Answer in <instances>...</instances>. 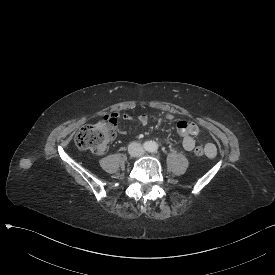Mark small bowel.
I'll list each match as a JSON object with an SVG mask.
<instances>
[{
	"label": "small bowel",
	"mask_w": 275,
	"mask_h": 275,
	"mask_svg": "<svg viewBox=\"0 0 275 275\" xmlns=\"http://www.w3.org/2000/svg\"><path fill=\"white\" fill-rule=\"evenodd\" d=\"M117 117H119L120 119H124L125 121H129V122H132L134 120V117L132 115H129L128 113L121 112L120 110L113 111L111 113V115H109V114L104 115L102 117V120L104 122L109 121L110 123H113ZM166 118L171 120L172 115L167 114ZM139 119H140V122L143 124L147 123V121H148L146 115H141ZM115 129L117 131H119V133L121 135H126L128 133V130L126 128H122V126L120 124H117L115 126ZM177 130L182 138L181 144H182L183 148L186 151H192L196 145L195 136H197L200 132L198 125L191 121L180 120L177 122ZM205 149H206V155L209 158H213L216 155V147L214 144L207 143L205 145ZM211 150L215 151L214 155H211V153H210Z\"/></svg>",
	"instance_id": "obj_1"
}]
</instances>
